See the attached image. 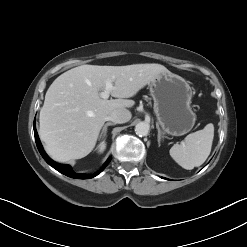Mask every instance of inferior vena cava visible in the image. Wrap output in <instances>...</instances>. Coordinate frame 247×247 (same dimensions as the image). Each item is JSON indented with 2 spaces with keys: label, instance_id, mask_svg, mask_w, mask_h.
<instances>
[{
  "label": "inferior vena cava",
  "instance_id": "602c4592",
  "mask_svg": "<svg viewBox=\"0 0 247 247\" xmlns=\"http://www.w3.org/2000/svg\"><path fill=\"white\" fill-rule=\"evenodd\" d=\"M131 119V113L129 110L122 109H114L108 115V120L114 122L115 124L126 123Z\"/></svg>",
  "mask_w": 247,
  "mask_h": 247
}]
</instances>
